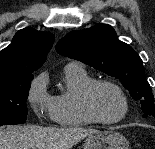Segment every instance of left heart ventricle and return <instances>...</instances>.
I'll use <instances>...</instances> for the list:
<instances>
[{
	"label": "left heart ventricle",
	"instance_id": "obj_1",
	"mask_svg": "<svg viewBox=\"0 0 155 149\" xmlns=\"http://www.w3.org/2000/svg\"><path fill=\"white\" fill-rule=\"evenodd\" d=\"M93 106L97 114L105 120L114 119L123 111L120 95L114 88L107 85H101L94 91Z\"/></svg>",
	"mask_w": 155,
	"mask_h": 149
}]
</instances>
